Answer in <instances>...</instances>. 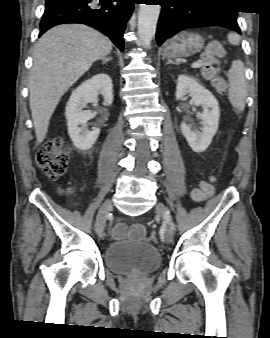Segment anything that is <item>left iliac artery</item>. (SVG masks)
<instances>
[{"instance_id": "1", "label": "left iliac artery", "mask_w": 270, "mask_h": 338, "mask_svg": "<svg viewBox=\"0 0 270 338\" xmlns=\"http://www.w3.org/2000/svg\"><path fill=\"white\" fill-rule=\"evenodd\" d=\"M170 212H169V210H167L166 211V215L168 216V217H170ZM171 226H172V229L174 230L175 228H174V224L171 222Z\"/></svg>"}]
</instances>
